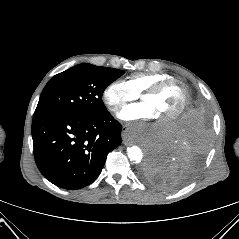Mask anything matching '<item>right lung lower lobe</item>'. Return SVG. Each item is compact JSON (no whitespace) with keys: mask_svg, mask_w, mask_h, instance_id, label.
Returning <instances> with one entry per match:
<instances>
[{"mask_svg":"<svg viewBox=\"0 0 239 239\" xmlns=\"http://www.w3.org/2000/svg\"><path fill=\"white\" fill-rule=\"evenodd\" d=\"M121 130V124L108 111L97 116L34 115L32 138L37 167L58 187H85L99 176L108 153L121 144Z\"/></svg>","mask_w":239,"mask_h":239,"instance_id":"obj_1","label":"right lung lower lobe"}]
</instances>
